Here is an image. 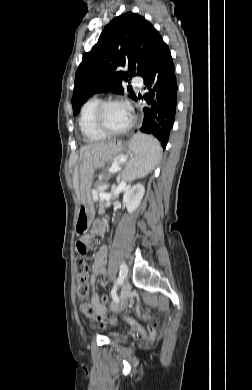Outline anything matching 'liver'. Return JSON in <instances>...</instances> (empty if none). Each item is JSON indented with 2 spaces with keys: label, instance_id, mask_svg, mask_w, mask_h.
<instances>
[{
  "label": "liver",
  "instance_id": "liver-1",
  "mask_svg": "<svg viewBox=\"0 0 252 390\" xmlns=\"http://www.w3.org/2000/svg\"><path fill=\"white\" fill-rule=\"evenodd\" d=\"M107 144H104V143H100V144H94V145H90V146H85L81 152H80V158L82 157L83 153L88 151V150H92V149H97V148H101V147H104L106 146ZM74 187L78 193V175L76 174L75 178H74Z\"/></svg>",
  "mask_w": 252,
  "mask_h": 390
}]
</instances>
